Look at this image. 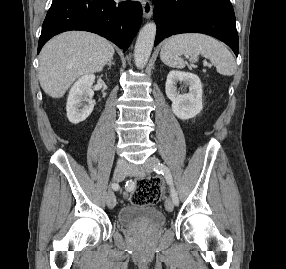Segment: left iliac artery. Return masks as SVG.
<instances>
[{
  "label": "left iliac artery",
  "instance_id": "obj_1",
  "mask_svg": "<svg viewBox=\"0 0 286 269\" xmlns=\"http://www.w3.org/2000/svg\"><path fill=\"white\" fill-rule=\"evenodd\" d=\"M154 171L157 173H161L165 176L167 183L170 186V193H171L172 200H173L175 205H178L179 199H178L176 190H175L174 185H173V179H172V175H171L169 168L163 164H159V165L154 166Z\"/></svg>",
  "mask_w": 286,
  "mask_h": 269
}]
</instances>
